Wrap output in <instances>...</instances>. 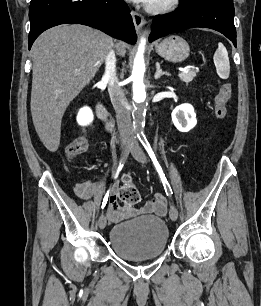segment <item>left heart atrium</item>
<instances>
[{
    "instance_id": "left-heart-atrium-1",
    "label": "left heart atrium",
    "mask_w": 261,
    "mask_h": 306,
    "mask_svg": "<svg viewBox=\"0 0 261 306\" xmlns=\"http://www.w3.org/2000/svg\"><path fill=\"white\" fill-rule=\"evenodd\" d=\"M130 1H135V2H150L152 0H130Z\"/></svg>"
}]
</instances>
